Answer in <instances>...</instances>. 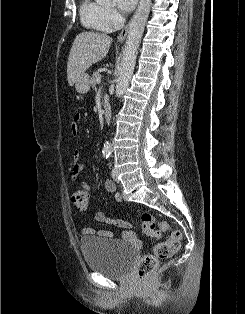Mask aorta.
I'll use <instances>...</instances> for the list:
<instances>
[{"mask_svg":"<svg viewBox=\"0 0 245 314\" xmlns=\"http://www.w3.org/2000/svg\"><path fill=\"white\" fill-rule=\"evenodd\" d=\"M109 0H97V2H107ZM151 7V0H140L139 5L129 24L128 35L123 51V57L119 67V76L116 85V96L121 97L129 86L131 81L136 58L138 54L139 43L141 41L145 24L148 19ZM112 145L110 142L104 144L103 153L110 155Z\"/></svg>","mask_w":245,"mask_h":314,"instance_id":"obj_1","label":"aorta"}]
</instances>
